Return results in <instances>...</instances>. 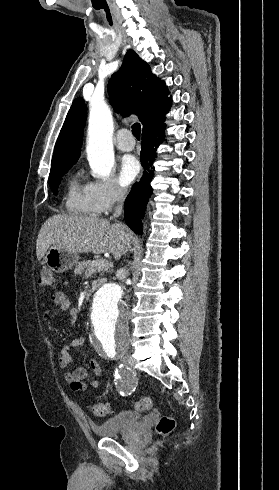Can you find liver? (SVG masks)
I'll return each instance as SVG.
<instances>
[{
    "label": "liver",
    "mask_w": 279,
    "mask_h": 490,
    "mask_svg": "<svg viewBox=\"0 0 279 490\" xmlns=\"http://www.w3.org/2000/svg\"><path fill=\"white\" fill-rule=\"evenodd\" d=\"M125 232V234H121ZM132 232L126 226L88 216H51L43 224L37 238L36 256L42 260L51 244L79 254H112L120 260L131 244Z\"/></svg>",
    "instance_id": "1"
}]
</instances>
